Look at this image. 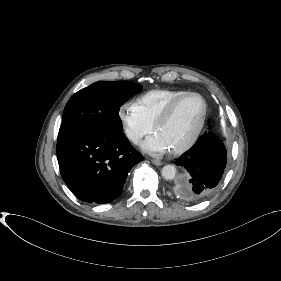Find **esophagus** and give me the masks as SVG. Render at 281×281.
<instances>
[{
  "mask_svg": "<svg viewBox=\"0 0 281 281\" xmlns=\"http://www.w3.org/2000/svg\"><path fill=\"white\" fill-rule=\"evenodd\" d=\"M152 163L155 164V165H157V166H160V165L163 164V162H162L161 160H158V159H153V160H152Z\"/></svg>",
  "mask_w": 281,
  "mask_h": 281,
  "instance_id": "34e87169",
  "label": "esophagus"
}]
</instances>
